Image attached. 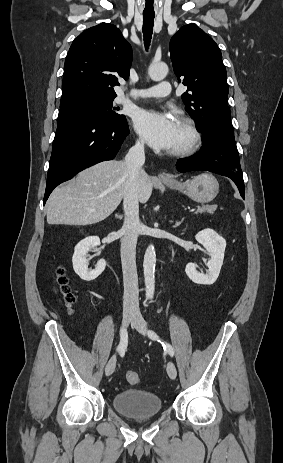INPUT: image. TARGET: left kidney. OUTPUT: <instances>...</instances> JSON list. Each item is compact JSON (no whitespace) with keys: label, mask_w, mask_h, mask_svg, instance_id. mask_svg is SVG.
Instances as JSON below:
<instances>
[{"label":"left kidney","mask_w":283,"mask_h":463,"mask_svg":"<svg viewBox=\"0 0 283 463\" xmlns=\"http://www.w3.org/2000/svg\"><path fill=\"white\" fill-rule=\"evenodd\" d=\"M195 238L211 256L208 262V271L206 274L200 273L196 270V264L190 262L186 265L185 272L194 283L211 285L217 280L223 265L226 241L210 228L198 232Z\"/></svg>","instance_id":"left-kidney-1"}]
</instances>
